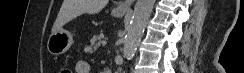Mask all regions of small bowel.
I'll return each mask as SVG.
<instances>
[{
  "instance_id": "small-bowel-1",
  "label": "small bowel",
  "mask_w": 244,
  "mask_h": 73,
  "mask_svg": "<svg viewBox=\"0 0 244 73\" xmlns=\"http://www.w3.org/2000/svg\"><path fill=\"white\" fill-rule=\"evenodd\" d=\"M76 73H90V64L87 61H78L75 65Z\"/></svg>"
}]
</instances>
